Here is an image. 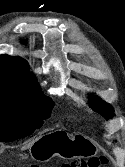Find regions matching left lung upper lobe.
Returning a JSON list of instances; mask_svg holds the SVG:
<instances>
[{
  "mask_svg": "<svg viewBox=\"0 0 125 167\" xmlns=\"http://www.w3.org/2000/svg\"><path fill=\"white\" fill-rule=\"evenodd\" d=\"M93 110L99 112L106 118H112L114 116V110L108 103L101 101L99 98H93L90 103Z\"/></svg>",
  "mask_w": 125,
  "mask_h": 167,
  "instance_id": "left-lung-upper-lobe-1",
  "label": "left lung upper lobe"
}]
</instances>
